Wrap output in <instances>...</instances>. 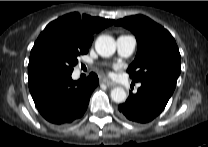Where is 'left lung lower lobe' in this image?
Instances as JSON below:
<instances>
[{
	"instance_id": "obj_1",
	"label": "left lung lower lobe",
	"mask_w": 208,
	"mask_h": 147,
	"mask_svg": "<svg viewBox=\"0 0 208 147\" xmlns=\"http://www.w3.org/2000/svg\"><path fill=\"white\" fill-rule=\"evenodd\" d=\"M174 89L161 80L142 81L137 93H131L126 102L118 106L120 115L131 122H150L163 111Z\"/></svg>"
}]
</instances>
